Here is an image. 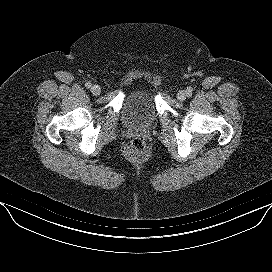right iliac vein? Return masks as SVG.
Here are the masks:
<instances>
[{"instance_id":"right-iliac-vein-1","label":"right iliac vein","mask_w":272,"mask_h":272,"mask_svg":"<svg viewBox=\"0 0 272 272\" xmlns=\"http://www.w3.org/2000/svg\"><path fill=\"white\" fill-rule=\"evenodd\" d=\"M91 92H92L93 95H99L100 92H101L100 86H98V85H93V86L91 87Z\"/></svg>"}]
</instances>
